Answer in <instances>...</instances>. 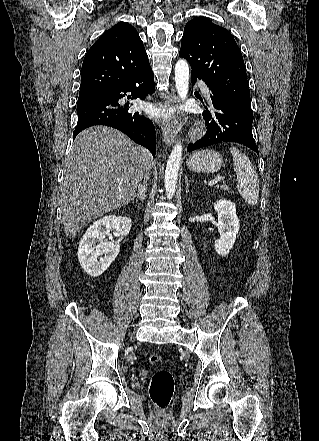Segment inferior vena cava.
<instances>
[{
	"label": "inferior vena cava",
	"mask_w": 319,
	"mask_h": 441,
	"mask_svg": "<svg viewBox=\"0 0 319 441\" xmlns=\"http://www.w3.org/2000/svg\"><path fill=\"white\" fill-rule=\"evenodd\" d=\"M146 179H148V175H146ZM140 186V185H139Z\"/></svg>",
	"instance_id": "inferior-vena-cava-1"
}]
</instances>
